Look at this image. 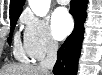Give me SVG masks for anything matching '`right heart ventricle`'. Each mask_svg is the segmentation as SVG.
<instances>
[{"mask_svg": "<svg viewBox=\"0 0 102 75\" xmlns=\"http://www.w3.org/2000/svg\"><path fill=\"white\" fill-rule=\"evenodd\" d=\"M14 55L18 60L25 62L29 61L31 58L28 51L25 48L24 43L20 41L18 35L15 38Z\"/></svg>", "mask_w": 102, "mask_h": 75, "instance_id": "right-heart-ventricle-1", "label": "right heart ventricle"}]
</instances>
